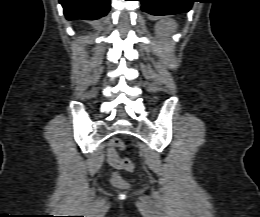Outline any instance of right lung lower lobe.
I'll use <instances>...</instances> for the list:
<instances>
[{
  "mask_svg": "<svg viewBox=\"0 0 260 217\" xmlns=\"http://www.w3.org/2000/svg\"><path fill=\"white\" fill-rule=\"evenodd\" d=\"M68 20H94L106 16L110 0H59Z\"/></svg>",
  "mask_w": 260,
  "mask_h": 217,
  "instance_id": "98d812e1",
  "label": "right lung lower lobe"
}]
</instances>
